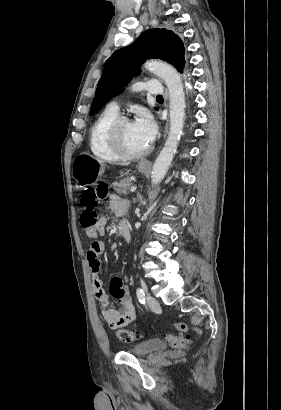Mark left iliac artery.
I'll return each mask as SVG.
<instances>
[{"label": "left iliac artery", "instance_id": "obj_1", "mask_svg": "<svg viewBox=\"0 0 281 410\" xmlns=\"http://www.w3.org/2000/svg\"><path fill=\"white\" fill-rule=\"evenodd\" d=\"M136 294H137V298H138L139 302L140 303H145V293H144L143 289L137 288Z\"/></svg>", "mask_w": 281, "mask_h": 410}]
</instances>
